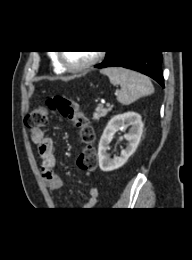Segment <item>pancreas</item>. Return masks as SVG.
Here are the masks:
<instances>
[{
  "instance_id": "pancreas-1",
  "label": "pancreas",
  "mask_w": 192,
  "mask_h": 260,
  "mask_svg": "<svg viewBox=\"0 0 192 260\" xmlns=\"http://www.w3.org/2000/svg\"><path fill=\"white\" fill-rule=\"evenodd\" d=\"M112 110V106L104 107L103 105H98L95 112L93 113V120H99L102 117H105L108 112Z\"/></svg>"
}]
</instances>
